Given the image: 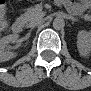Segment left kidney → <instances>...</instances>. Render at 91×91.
<instances>
[{
	"label": "left kidney",
	"instance_id": "1",
	"mask_svg": "<svg viewBox=\"0 0 91 91\" xmlns=\"http://www.w3.org/2000/svg\"><path fill=\"white\" fill-rule=\"evenodd\" d=\"M77 47L82 56H88L91 51V36L85 31H80L77 36Z\"/></svg>",
	"mask_w": 91,
	"mask_h": 91
}]
</instances>
